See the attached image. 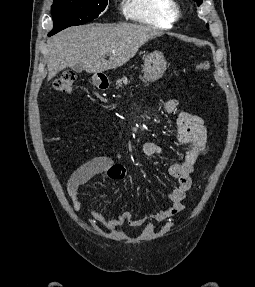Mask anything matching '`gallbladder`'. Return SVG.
<instances>
[{"instance_id":"bac80fb5","label":"gallbladder","mask_w":255,"mask_h":287,"mask_svg":"<svg viewBox=\"0 0 255 287\" xmlns=\"http://www.w3.org/2000/svg\"><path fill=\"white\" fill-rule=\"evenodd\" d=\"M71 70H73V72H76V74H80V72H82V68L80 64H76V66H72Z\"/></svg>"}]
</instances>
